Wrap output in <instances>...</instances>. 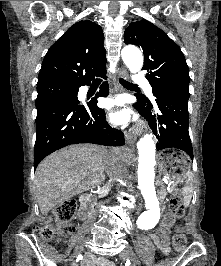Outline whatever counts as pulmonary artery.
<instances>
[{
	"label": "pulmonary artery",
	"mask_w": 221,
	"mask_h": 266,
	"mask_svg": "<svg viewBox=\"0 0 221 266\" xmlns=\"http://www.w3.org/2000/svg\"><path fill=\"white\" fill-rule=\"evenodd\" d=\"M134 81H135V82H142V81H143V76L140 75V74L136 75V76L134 77ZM145 89L147 90V92H148L149 94H152V88H151V86H150L149 84H146V85H145Z\"/></svg>",
	"instance_id": "pulmonary-artery-1"
}]
</instances>
